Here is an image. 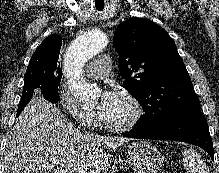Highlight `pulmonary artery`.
I'll use <instances>...</instances> for the list:
<instances>
[{"label": "pulmonary artery", "mask_w": 219, "mask_h": 173, "mask_svg": "<svg viewBox=\"0 0 219 173\" xmlns=\"http://www.w3.org/2000/svg\"><path fill=\"white\" fill-rule=\"evenodd\" d=\"M111 68V60L107 55L95 57L87 67V75L90 78L98 79L107 75Z\"/></svg>", "instance_id": "obj_1"}]
</instances>
